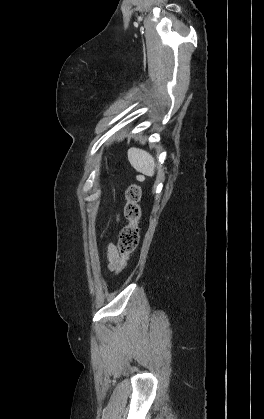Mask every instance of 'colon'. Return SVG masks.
<instances>
[{"label": "colon", "instance_id": "obj_1", "mask_svg": "<svg viewBox=\"0 0 264 419\" xmlns=\"http://www.w3.org/2000/svg\"><path fill=\"white\" fill-rule=\"evenodd\" d=\"M141 190L138 185H131L126 191L125 217L128 223L122 228L118 239V249L120 252V264L117 269L121 273L128 264L130 255L135 251L139 240V222L141 219V208L139 201Z\"/></svg>", "mask_w": 264, "mask_h": 419}]
</instances>
